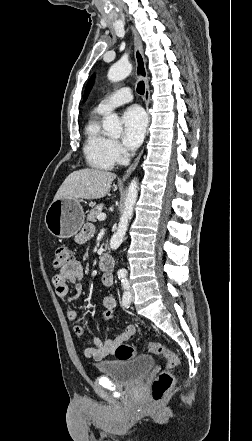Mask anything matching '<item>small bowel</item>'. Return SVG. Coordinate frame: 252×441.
Returning <instances> with one entry per match:
<instances>
[{
  "label": "small bowel",
  "instance_id": "small-bowel-1",
  "mask_svg": "<svg viewBox=\"0 0 252 441\" xmlns=\"http://www.w3.org/2000/svg\"><path fill=\"white\" fill-rule=\"evenodd\" d=\"M93 234V229L90 226L84 227L80 233L76 236L78 243H84ZM83 278V267L77 259H72V261L61 268V270L54 275L52 279L53 286L55 288L56 294L61 298H66L70 303L76 298H78L82 292L81 280ZM102 284L105 287H111L114 283V278L112 273L104 272L101 277ZM68 283H72L75 289V295L69 296ZM101 307L107 304H112L116 307V299L113 296H106L101 301ZM66 316L69 321H76L78 318L77 312L69 307L66 311ZM74 335L78 338H84V329L80 324H76L73 327ZM136 332V328L133 325H128L125 330L115 338L100 340L99 338L93 339L94 346L85 349L84 354L87 358L93 359L95 361H100L106 357L115 354L116 349L119 345L124 344L128 341Z\"/></svg>",
  "mask_w": 252,
  "mask_h": 441
}]
</instances>
